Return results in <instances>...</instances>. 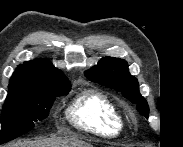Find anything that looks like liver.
I'll return each mask as SVG.
<instances>
[{"label":"liver","mask_w":183,"mask_h":147,"mask_svg":"<svg viewBox=\"0 0 183 147\" xmlns=\"http://www.w3.org/2000/svg\"><path fill=\"white\" fill-rule=\"evenodd\" d=\"M12 147H92L77 137H54L49 139L18 141Z\"/></svg>","instance_id":"1"}]
</instances>
